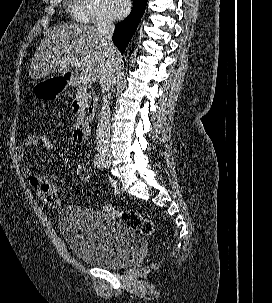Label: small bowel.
Returning <instances> with one entry per match:
<instances>
[{"label": "small bowel", "instance_id": "1", "mask_svg": "<svg viewBox=\"0 0 272 303\" xmlns=\"http://www.w3.org/2000/svg\"><path fill=\"white\" fill-rule=\"evenodd\" d=\"M74 141L77 140L74 137ZM36 135L28 136L23 143L18 144L15 149L16 157L22 159L25 157L27 149L35 146ZM21 171L26 177L32 187L35 189L38 195L41 197L54 191L57 182L61 181V177L56 174H50L47 172L33 173L31 168L23 166Z\"/></svg>", "mask_w": 272, "mask_h": 303}]
</instances>
